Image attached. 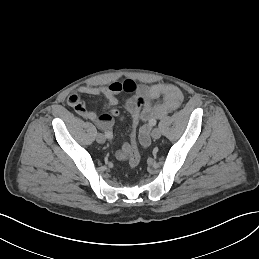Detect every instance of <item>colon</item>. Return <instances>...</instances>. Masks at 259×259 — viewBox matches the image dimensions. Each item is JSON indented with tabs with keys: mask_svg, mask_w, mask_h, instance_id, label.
<instances>
[{
	"mask_svg": "<svg viewBox=\"0 0 259 259\" xmlns=\"http://www.w3.org/2000/svg\"><path fill=\"white\" fill-rule=\"evenodd\" d=\"M146 101L143 97H135V111L132 113V133L131 145L129 151L128 165L129 168L134 169L140 163V152L136 142V128L140 121V110L145 106Z\"/></svg>",
	"mask_w": 259,
	"mask_h": 259,
	"instance_id": "colon-1",
	"label": "colon"
}]
</instances>
